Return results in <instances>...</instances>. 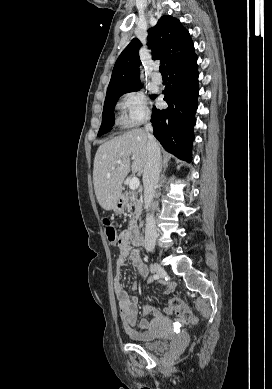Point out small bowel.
I'll list each match as a JSON object with an SVG mask.
<instances>
[{
    "mask_svg": "<svg viewBox=\"0 0 272 389\" xmlns=\"http://www.w3.org/2000/svg\"><path fill=\"white\" fill-rule=\"evenodd\" d=\"M117 244L119 253L116 259L117 274L114 280V293L118 302L123 327L132 339L149 340L153 337V333L150 330L151 321L147 318L138 320L139 298L137 296L129 297L120 279V270L127 262L137 267L142 278L147 277L148 268L141 259L140 252L130 245L127 231H124L119 235ZM132 289L137 290L138 283H133ZM171 291L172 287L167 285L165 294H169ZM166 311L168 312L169 310L167 309ZM143 313L144 315H152L154 318L160 317V312L150 305L143 307Z\"/></svg>",
    "mask_w": 272,
    "mask_h": 389,
    "instance_id": "obj_1",
    "label": "small bowel"
}]
</instances>
